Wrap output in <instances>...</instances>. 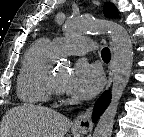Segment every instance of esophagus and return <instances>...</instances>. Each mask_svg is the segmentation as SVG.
I'll list each match as a JSON object with an SVG mask.
<instances>
[{"label": "esophagus", "mask_w": 144, "mask_h": 137, "mask_svg": "<svg viewBox=\"0 0 144 137\" xmlns=\"http://www.w3.org/2000/svg\"><path fill=\"white\" fill-rule=\"evenodd\" d=\"M110 43H111V61L108 67V81L106 88H108L112 82L115 67V50L112 42ZM92 114H93V106L89 107L84 113L77 116V118L74 120V127L84 133L90 132L93 127Z\"/></svg>", "instance_id": "esophagus-1"}]
</instances>
